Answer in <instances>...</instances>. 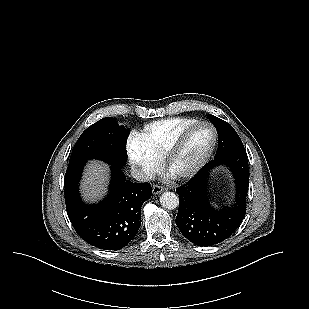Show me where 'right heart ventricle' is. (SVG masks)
<instances>
[{
    "label": "right heart ventricle",
    "mask_w": 309,
    "mask_h": 309,
    "mask_svg": "<svg viewBox=\"0 0 309 309\" xmlns=\"http://www.w3.org/2000/svg\"><path fill=\"white\" fill-rule=\"evenodd\" d=\"M197 120L192 118H169L146 125L139 134V142L158 159H163L180 134Z\"/></svg>",
    "instance_id": "obj_1"
}]
</instances>
